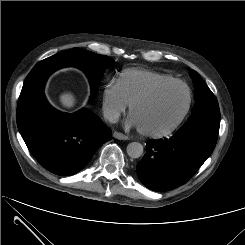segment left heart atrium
<instances>
[{
	"instance_id": "39dd6f15",
	"label": "left heart atrium",
	"mask_w": 245,
	"mask_h": 245,
	"mask_svg": "<svg viewBox=\"0 0 245 245\" xmlns=\"http://www.w3.org/2000/svg\"><path fill=\"white\" fill-rule=\"evenodd\" d=\"M126 124L129 127L139 128L138 123H137V120L135 119V117L132 114L126 120Z\"/></svg>"
}]
</instances>
